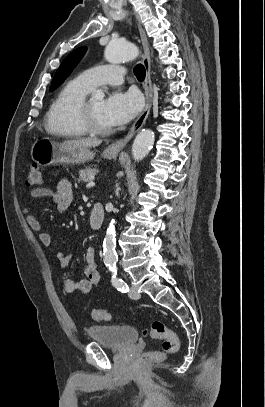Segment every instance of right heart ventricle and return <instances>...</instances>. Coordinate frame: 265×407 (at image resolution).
Masks as SVG:
<instances>
[{
  "label": "right heart ventricle",
  "mask_w": 265,
  "mask_h": 407,
  "mask_svg": "<svg viewBox=\"0 0 265 407\" xmlns=\"http://www.w3.org/2000/svg\"><path fill=\"white\" fill-rule=\"evenodd\" d=\"M90 90L78 78L68 81L56 94L47 111V133L58 138L85 137L87 133L80 126L76 111Z\"/></svg>",
  "instance_id": "right-heart-ventricle-1"
}]
</instances>
